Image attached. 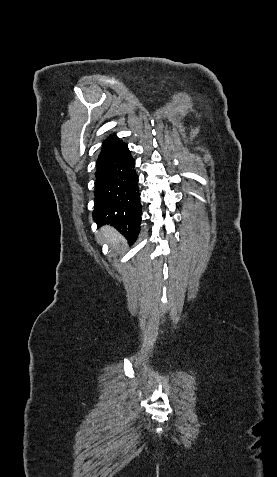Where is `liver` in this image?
<instances>
[{
  "mask_svg": "<svg viewBox=\"0 0 277 477\" xmlns=\"http://www.w3.org/2000/svg\"><path fill=\"white\" fill-rule=\"evenodd\" d=\"M101 233L104 236L105 240L113 246H117L121 242H124V238L121 237L117 231H115L109 226L101 228Z\"/></svg>",
  "mask_w": 277,
  "mask_h": 477,
  "instance_id": "obj_1",
  "label": "liver"
}]
</instances>
